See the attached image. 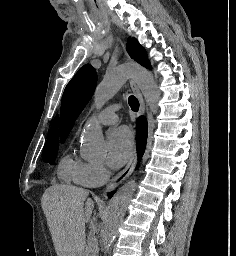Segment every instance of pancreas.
<instances>
[{
  "label": "pancreas",
  "mask_w": 236,
  "mask_h": 256,
  "mask_svg": "<svg viewBox=\"0 0 236 256\" xmlns=\"http://www.w3.org/2000/svg\"><path fill=\"white\" fill-rule=\"evenodd\" d=\"M91 224H98L99 220L98 219H91L90 220ZM98 226H90L89 230H90V238L88 240V242L86 243V246L88 247L87 253L88 254H95L96 250L95 247L98 246V240L95 236V234H98Z\"/></svg>",
  "instance_id": "1"
}]
</instances>
